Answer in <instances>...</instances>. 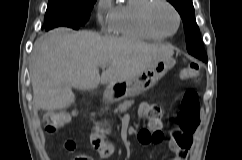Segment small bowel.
<instances>
[{"label": "small bowel", "instance_id": "1", "mask_svg": "<svg viewBox=\"0 0 242 160\" xmlns=\"http://www.w3.org/2000/svg\"><path fill=\"white\" fill-rule=\"evenodd\" d=\"M141 113L143 115H145L146 108H143ZM154 123H155L156 127H159V125H160L159 121H155ZM174 131H173V133H174ZM173 133H172L170 139L168 140V149L174 154V158L172 160H188L189 151H190V149L193 145V136H192L193 133L185 135V137L187 139L185 146H182V144L175 138ZM92 141H93L94 147L96 149H98V143L101 142V141H104L103 136L94 134ZM139 142L141 144H143L141 142L140 137H139ZM106 146L110 150V152L112 153L113 152V146L109 142H106ZM66 147L68 149H73V144L71 142H68V143H66Z\"/></svg>", "mask_w": 242, "mask_h": 160}]
</instances>
